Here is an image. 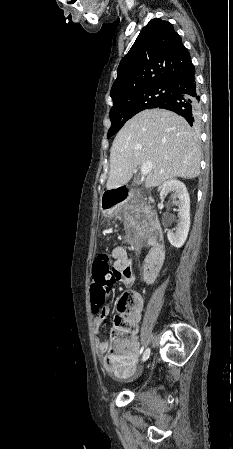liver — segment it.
Listing matches in <instances>:
<instances>
[{
    "instance_id": "obj_1",
    "label": "liver",
    "mask_w": 233,
    "mask_h": 449,
    "mask_svg": "<svg viewBox=\"0 0 233 449\" xmlns=\"http://www.w3.org/2000/svg\"><path fill=\"white\" fill-rule=\"evenodd\" d=\"M200 161L199 137L183 117L164 109L144 110L127 121L113 141L106 188L125 185L145 162L152 163L147 188L171 178H195Z\"/></svg>"
}]
</instances>
